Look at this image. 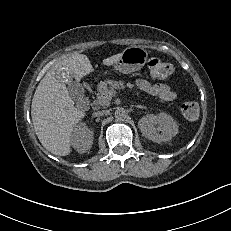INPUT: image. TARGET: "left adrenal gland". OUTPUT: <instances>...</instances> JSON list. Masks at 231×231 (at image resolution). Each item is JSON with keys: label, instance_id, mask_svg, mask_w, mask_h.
Here are the masks:
<instances>
[{"label": "left adrenal gland", "instance_id": "left-adrenal-gland-1", "mask_svg": "<svg viewBox=\"0 0 231 231\" xmlns=\"http://www.w3.org/2000/svg\"><path fill=\"white\" fill-rule=\"evenodd\" d=\"M136 108H141V109H146V107L145 106H142V105H137V106H135Z\"/></svg>", "mask_w": 231, "mask_h": 231}]
</instances>
